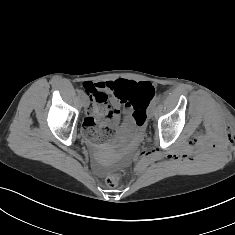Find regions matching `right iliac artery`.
I'll use <instances>...</instances> for the list:
<instances>
[{"mask_svg": "<svg viewBox=\"0 0 235 235\" xmlns=\"http://www.w3.org/2000/svg\"><path fill=\"white\" fill-rule=\"evenodd\" d=\"M78 94H79L80 96L84 97V92H83L82 90H79V91H78Z\"/></svg>", "mask_w": 235, "mask_h": 235, "instance_id": "obj_1", "label": "right iliac artery"}]
</instances>
